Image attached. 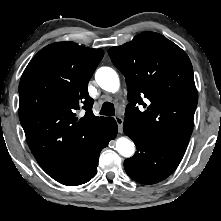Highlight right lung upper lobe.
<instances>
[{
    "label": "right lung upper lobe",
    "mask_w": 221,
    "mask_h": 221,
    "mask_svg": "<svg viewBox=\"0 0 221 221\" xmlns=\"http://www.w3.org/2000/svg\"><path fill=\"white\" fill-rule=\"evenodd\" d=\"M101 49L57 42L41 49L19 84V118L34 157L49 173L75 156L103 128L87 86L103 58ZM80 109L82 118L76 117Z\"/></svg>",
    "instance_id": "1"
}]
</instances>
